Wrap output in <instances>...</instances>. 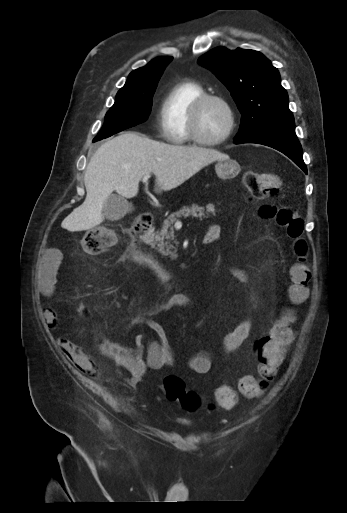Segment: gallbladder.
Segmentation results:
<instances>
[{
    "label": "gallbladder",
    "mask_w": 347,
    "mask_h": 513,
    "mask_svg": "<svg viewBox=\"0 0 347 513\" xmlns=\"http://www.w3.org/2000/svg\"><path fill=\"white\" fill-rule=\"evenodd\" d=\"M132 209L131 203L116 194H111L103 204V214L110 221L122 219Z\"/></svg>",
    "instance_id": "1"
}]
</instances>
